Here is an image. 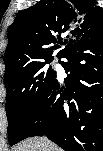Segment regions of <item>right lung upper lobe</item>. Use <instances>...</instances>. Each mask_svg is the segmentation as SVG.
Instances as JSON below:
<instances>
[{
  "mask_svg": "<svg viewBox=\"0 0 103 151\" xmlns=\"http://www.w3.org/2000/svg\"><path fill=\"white\" fill-rule=\"evenodd\" d=\"M90 3L83 0H43L22 12L8 30V46L4 54L5 80L31 64L53 59L56 43L66 38L64 54L82 36L102 29L93 16Z\"/></svg>",
  "mask_w": 103,
  "mask_h": 151,
  "instance_id": "obj_1",
  "label": "right lung upper lobe"
}]
</instances>
